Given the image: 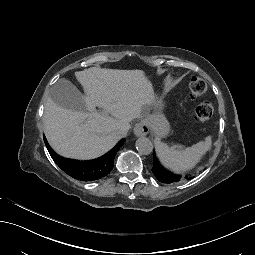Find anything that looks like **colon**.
<instances>
[{
  "label": "colon",
  "mask_w": 255,
  "mask_h": 255,
  "mask_svg": "<svg viewBox=\"0 0 255 255\" xmlns=\"http://www.w3.org/2000/svg\"><path fill=\"white\" fill-rule=\"evenodd\" d=\"M189 89L194 96H200L207 91V83L202 78L194 77L189 83ZM213 110L210 101L201 102L195 110L196 119L200 122L208 121L212 117Z\"/></svg>",
  "instance_id": "obj_1"
}]
</instances>
